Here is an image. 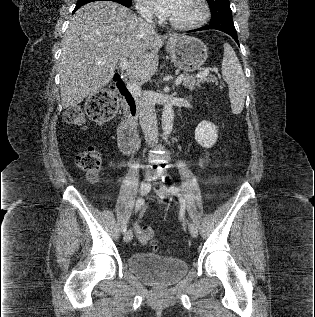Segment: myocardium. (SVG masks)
<instances>
[{
    "label": "myocardium",
    "mask_w": 315,
    "mask_h": 317,
    "mask_svg": "<svg viewBox=\"0 0 315 317\" xmlns=\"http://www.w3.org/2000/svg\"><path fill=\"white\" fill-rule=\"evenodd\" d=\"M198 3L200 4L201 7V14L198 19L192 22L188 23H179L176 21H173L172 19L169 20L170 24L177 29L180 30H191V29H196L204 25V23L207 21L209 14H210V9L209 5L206 0H198Z\"/></svg>",
    "instance_id": "1"
}]
</instances>
